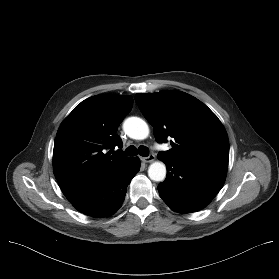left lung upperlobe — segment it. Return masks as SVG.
I'll use <instances>...</instances> for the list:
<instances>
[{"mask_svg":"<svg viewBox=\"0 0 279 279\" xmlns=\"http://www.w3.org/2000/svg\"><path fill=\"white\" fill-rule=\"evenodd\" d=\"M135 101L153 126L157 142L167 138L172 148L158 157L227 170L229 139L217 116L201 101L180 91L138 93Z\"/></svg>","mask_w":279,"mask_h":279,"instance_id":"5c2ea615","label":"left lung upper lobe"}]
</instances>
